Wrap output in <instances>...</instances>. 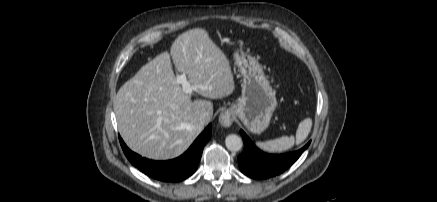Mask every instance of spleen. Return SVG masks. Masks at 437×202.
<instances>
[{"mask_svg": "<svg viewBox=\"0 0 437 202\" xmlns=\"http://www.w3.org/2000/svg\"><path fill=\"white\" fill-rule=\"evenodd\" d=\"M312 127V120L306 118L300 122L296 131V137L294 136H282L280 138L269 140L265 142H257L256 145L266 152H282L288 150L294 146V144L302 143L308 136Z\"/></svg>", "mask_w": 437, "mask_h": 202, "instance_id": "3e777b00", "label": "spleen"}]
</instances>
